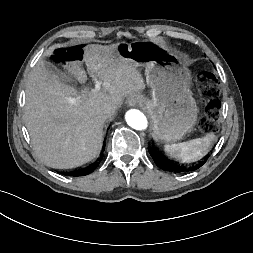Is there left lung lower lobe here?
Returning a JSON list of instances; mask_svg holds the SVG:
<instances>
[{
  "label": "left lung lower lobe",
  "mask_w": 253,
  "mask_h": 253,
  "mask_svg": "<svg viewBox=\"0 0 253 253\" xmlns=\"http://www.w3.org/2000/svg\"><path fill=\"white\" fill-rule=\"evenodd\" d=\"M150 154H151L154 162L156 163V165L159 168L163 169L164 171H170V172H174V173L191 172V171H194V170L200 168L205 163V162H200L197 165L185 167V166H180V165L168 160L167 158L161 156L157 152L150 150Z\"/></svg>",
  "instance_id": "obj_1"
}]
</instances>
